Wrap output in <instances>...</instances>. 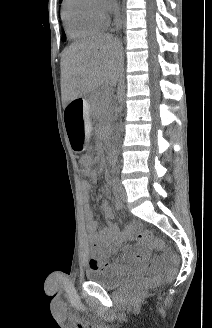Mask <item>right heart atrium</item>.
Returning <instances> with one entry per match:
<instances>
[{
  "instance_id": "right-heart-atrium-1",
  "label": "right heart atrium",
  "mask_w": 212,
  "mask_h": 328,
  "mask_svg": "<svg viewBox=\"0 0 212 328\" xmlns=\"http://www.w3.org/2000/svg\"><path fill=\"white\" fill-rule=\"evenodd\" d=\"M95 11L103 18L107 20L110 12L113 9V5L107 0H92Z\"/></svg>"
}]
</instances>
